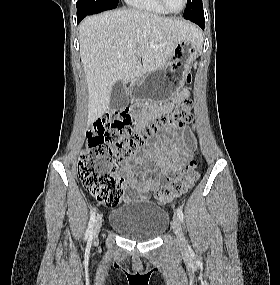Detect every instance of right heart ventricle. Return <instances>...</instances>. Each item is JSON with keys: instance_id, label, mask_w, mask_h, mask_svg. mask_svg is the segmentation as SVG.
<instances>
[{"instance_id": "right-heart-ventricle-1", "label": "right heart ventricle", "mask_w": 280, "mask_h": 285, "mask_svg": "<svg viewBox=\"0 0 280 285\" xmlns=\"http://www.w3.org/2000/svg\"><path fill=\"white\" fill-rule=\"evenodd\" d=\"M127 3L138 10L165 15L167 12L161 7L158 0H126Z\"/></svg>"}]
</instances>
